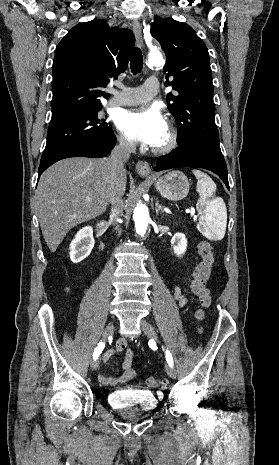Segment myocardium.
Here are the masks:
<instances>
[{
	"label": "myocardium",
	"mask_w": 279,
	"mask_h": 465,
	"mask_svg": "<svg viewBox=\"0 0 279 465\" xmlns=\"http://www.w3.org/2000/svg\"><path fill=\"white\" fill-rule=\"evenodd\" d=\"M167 127L169 129V137L167 142L159 147H153L151 150L155 154H165L174 150L178 144L179 133L177 128L173 123H168Z\"/></svg>",
	"instance_id": "1"
}]
</instances>
